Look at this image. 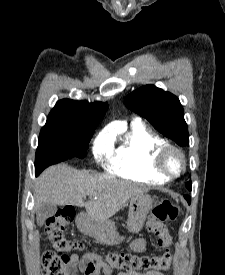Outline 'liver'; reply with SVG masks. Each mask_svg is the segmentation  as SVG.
<instances>
[{
    "label": "liver",
    "instance_id": "1",
    "mask_svg": "<svg viewBox=\"0 0 225 275\" xmlns=\"http://www.w3.org/2000/svg\"><path fill=\"white\" fill-rule=\"evenodd\" d=\"M145 192L108 174H93L58 164L47 168L38 178L34 189L35 208L38 211L44 203L85 207L89 218L104 223L130 198ZM86 197L89 199L84 202Z\"/></svg>",
    "mask_w": 225,
    "mask_h": 275
}]
</instances>
